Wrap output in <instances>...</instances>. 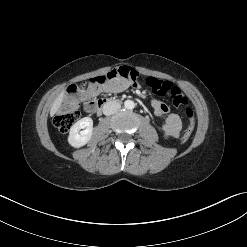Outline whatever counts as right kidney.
Wrapping results in <instances>:
<instances>
[{
	"instance_id": "right-kidney-1",
	"label": "right kidney",
	"mask_w": 247,
	"mask_h": 247,
	"mask_svg": "<svg viewBox=\"0 0 247 247\" xmlns=\"http://www.w3.org/2000/svg\"><path fill=\"white\" fill-rule=\"evenodd\" d=\"M92 133L93 120L90 117H84L71 127L68 142L72 147H82L91 139Z\"/></svg>"
}]
</instances>
